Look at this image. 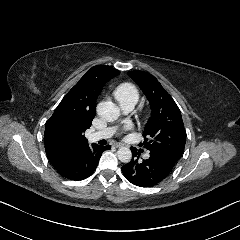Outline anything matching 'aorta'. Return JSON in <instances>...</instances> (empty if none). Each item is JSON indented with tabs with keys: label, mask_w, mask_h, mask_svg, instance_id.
I'll return each instance as SVG.
<instances>
[{
	"label": "aorta",
	"mask_w": 240,
	"mask_h": 240,
	"mask_svg": "<svg viewBox=\"0 0 240 240\" xmlns=\"http://www.w3.org/2000/svg\"><path fill=\"white\" fill-rule=\"evenodd\" d=\"M96 110L99 117H101L103 120L107 122H113L117 120L120 116L119 107L111 101L100 102L97 105ZM117 156L121 162L128 163L132 158V152L127 147H121L117 151Z\"/></svg>",
	"instance_id": "1"
}]
</instances>
